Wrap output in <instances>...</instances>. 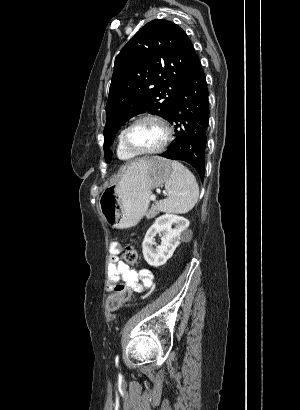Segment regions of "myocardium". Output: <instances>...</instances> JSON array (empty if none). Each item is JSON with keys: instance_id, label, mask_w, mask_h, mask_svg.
Masks as SVG:
<instances>
[{"instance_id": "myocardium-1", "label": "myocardium", "mask_w": 300, "mask_h": 410, "mask_svg": "<svg viewBox=\"0 0 300 410\" xmlns=\"http://www.w3.org/2000/svg\"><path fill=\"white\" fill-rule=\"evenodd\" d=\"M143 120H153L158 122L162 128L164 129L165 136L163 142L155 149L152 150H139L134 147H132L128 140H127V134L129 130L138 122L143 121ZM172 139V129L169 125V123L160 115L158 114H153V113H146L143 115H140L136 117L133 121H131L123 130H122V135H121V140L123 146L130 151L133 155L135 156H148V155H155L159 154L162 151L166 149L168 144L170 143Z\"/></svg>"}]
</instances>
